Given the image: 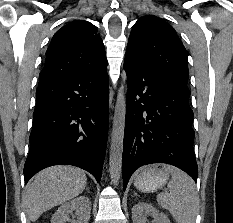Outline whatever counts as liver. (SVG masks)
<instances>
[{"mask_svg":"<svg viewBox=\"0 0 233 223\" xmlns=\"http://www.w3.org/2000/svg\"><path fill=\"white\" fill-rule=\"evenodd\" d=\"M86 183V173L79 167L53 165L42 169L34 175V181L28 185L23 197L29 219L36 221L47 209L76 197L85 189Z\"/></svg>","mask_w":233,"mask_h":223,"instance_id":"liver-1","label":"liver"}]
</instances>
